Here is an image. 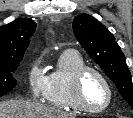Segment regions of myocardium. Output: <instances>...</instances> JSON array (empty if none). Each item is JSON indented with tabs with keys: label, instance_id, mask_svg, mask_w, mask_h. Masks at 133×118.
Wrapping results in <instances>:
<instances>
[{
	"label": "myocardium",
	"instance_id": "1",
	"mask_svg": "<svg viewBox=\"0 0 133 118\" xmlns=\"http://www.w3.org/2000/svg\"><path fill=\"white\" fill-rule=\"evenodd\" d=\"M91 72L95 73L103 80L108 92V99L106 103L99 108L90 107L86 103L84 94H83L84 79L87 76V74ZM73 97L81 110L91 114H99L106 111L111 106L114 98V90L109 78L99 68L94 66H84L76 73L74 77Z\"/></svg>",
	"mask_w": 133,
	"mask_h": 118
}]
</instances>
